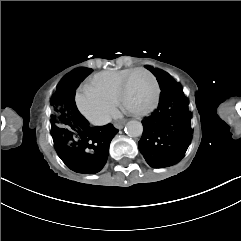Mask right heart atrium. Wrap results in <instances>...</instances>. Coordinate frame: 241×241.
<instances>
[{
  "instance_id": "right-heart-atrium-1",
  "label": "right heart atrium",
  "mask_w": 241,
  "mask_h": 241,
  "mask_svg": "<svg viewBox=\"0 0 241 241\" xmlns=\"http://www.w3.org/2000/svg\"><path fill=\"white\" fill-rule=\"evenodd\" d=\"M111 102L114 104L112 97L93 84L83 85L75 93L78 110L95 124H104L111 120L115 113Z\"/></svg>"
}]
</instances>
